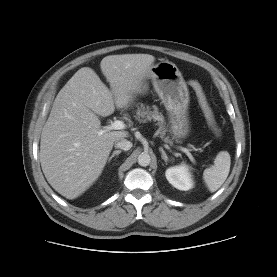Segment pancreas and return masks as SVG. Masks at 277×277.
Wrapping results in <instances>:
<instances>
[{
    "instance_id": "cf45deb5",
    "label": "pancreas",
    "mask_w": 277,
    "mask_h": 277,
    "mask_svg": "<svg viewBox=\"0 0 277 277\" xmlns=\"http://www.w3.org/2000/svg\"><path fill=\"white\" fill-rule=\"evenodd\" d=\"M135 112L136 115L134 117L139 123H146L151 120L157 121L159 126L158 132L162 140L169 144L172 143V140L169 138V136H166L167 128L164 116L161 112H159V109L156 105L148 106L143 103H139L137 104V109Z\"/></svg>"
}]
</instances>
